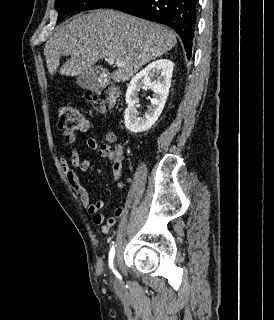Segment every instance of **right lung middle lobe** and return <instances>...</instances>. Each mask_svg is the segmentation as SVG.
Here are the masks:
<instances>
[{
  "label": "right lung middle lobe",
  "instance_id": "right-lung-middle-lobe-1",
  "mask_svg": "<svg viewBox=\"0 0 274 320\" xmlns=\"http://www.w3.org/2000/svg\"><path fill=\"white\" fill-rule=\"evenodd\" d=\"M112 0H55L59 22L63 15L70 11L99 9Z\"/></svg>",
  "mask_w": 274,
  "mask_h": 320
}]
</instances>
